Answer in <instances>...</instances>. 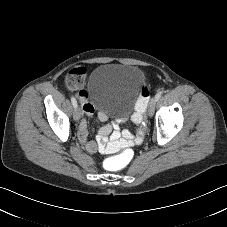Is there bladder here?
I'll use <instances>...</instances> for the list:
<instances>
[{"label":"bladder","instance_id":"bladder-1","mask_svg":"<svg viewBox=\"0 0 227 227\" xmlns=\"http://www.w3.org/2000/svg\"><path fill=\"white\" fill-rule=\"evenodd\" d=\"M142 81V72L135 66L104 63L93 72L86 91L95 108L111 118H121L131 114Z\"/></svg>","mask_w":227,"mask_h":227}]
</instances>
